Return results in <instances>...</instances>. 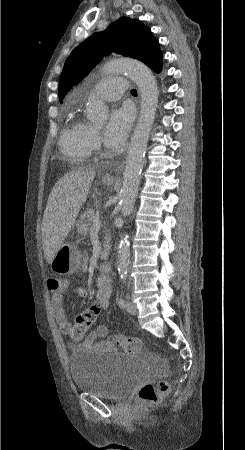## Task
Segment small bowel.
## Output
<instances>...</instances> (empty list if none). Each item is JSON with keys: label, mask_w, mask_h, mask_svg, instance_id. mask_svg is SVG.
Segmentation results:
<instances>
[{"label": "small bowel", "mask_w": 245, "mask_h": 450, "mask_svg": "<svg viewBox=\"0 0 245 450\" xmlns=\"http://www.w3.org/2000/svg\"><path fill=\"white\" fill-rule=\"evenodd\" d=\"M112 293V278L109 275H101L97 283L96 303L101 309H107L110 306ZM65 295H74L79 298H87L88 291L81 285L71 286L70 281L66 280L62 289L54 291L51 297V309L61 331L65 334L71 333L72 324L63 307V298ZM112 342L107 339V329L100 327L94 332L89 333L84 340L80 342H70L68 349L78 352L83 349H110Z\"/></svg>", "instance_id": "1"}]
</instances>
